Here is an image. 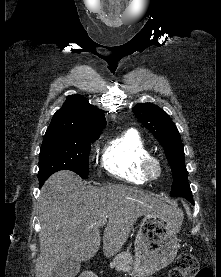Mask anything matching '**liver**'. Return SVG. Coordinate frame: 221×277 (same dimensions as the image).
I'll return each mask as SVG.
<instances>
[{
	"label": "liver",
	"mask_w": 221,
	"mask_h": 277,
	"mask_svg": "<svg viewBox=\"0 0 221 277\" xmlns=\"http://www.w3.org/2000/svg\"><path fill=\"white\" fill-rule=\"evenodd\" d=\"M40 255L36 277H50L53 269L70 259L86 261L100 247V221L106 219L103 252L111 257L127 241L142 215L170 212L163 201L123 185H84L75 173L63 170L50 176L39 198Z\"/></svg>",
	"instance_id": "6515ba94"
}]
</instances>
